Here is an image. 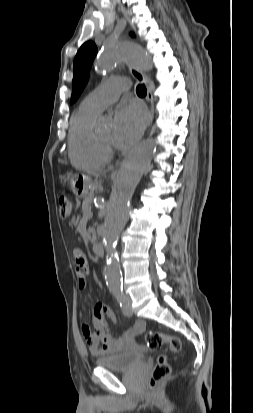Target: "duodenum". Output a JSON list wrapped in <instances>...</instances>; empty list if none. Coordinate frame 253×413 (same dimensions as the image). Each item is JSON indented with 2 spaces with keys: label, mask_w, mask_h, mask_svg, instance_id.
Segmentation results:
<instances>
[{
  "label": "duodenum",
  "mask_w": 253,
  "mask_h": 413,
  "mask_svg": "<svg viewBox=\"0 0 253 413\" xmlns=\"http://www.w3.org/2000/svg\"><path fill=\"white\" fill-rule=\"evenodd\" d=\"M93 253L98 257H103L105 254L104 247L100 243H96L92 246Z\"/></svg>",
  "instance_id": "1"
}]
</instances>
